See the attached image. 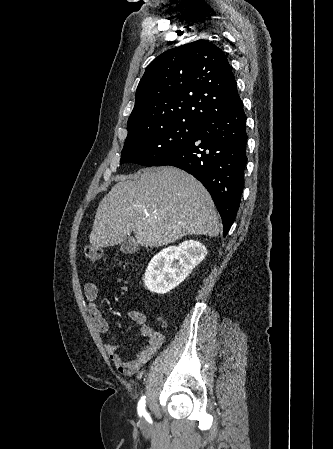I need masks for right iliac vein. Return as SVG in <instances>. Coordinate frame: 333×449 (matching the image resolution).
I'll list each match as a JSON object with an SVG mask.
<instances>
[{
  "instance_id": "63e3f726",
  "label": "right iliac vein",
  "mask_w": 333,
  "mask_h": 449,
  "mask_svg": "<svg viewBox=\"0 0 333 449\" xmlns=\"http://www.w3.org/2000/svg\"><path fill=\"white\" fill-rule=\"evenodd\" d=\"M144 423H145V422L142 420V421H141V424L143 425Z\"/></svg>"
}]
</instances>
